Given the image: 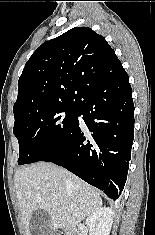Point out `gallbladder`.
I'll return each mask as SVG.
<instances>
[{
	"label": "gallbladder",
	"instance_id": "obj_1",
	"mask_svg": "<svg viewBox=\"0 0 155 235\" xmlns=\"http://www.w3.org/2000/svg\"><path fill=\"white\" fill-rule=\"evenodd\" d=\"M29 228L31 235H52L50 216L42 209H36L30 219Z\"/></svg>",
	"mask_w": 155,
	"mask_h": 235
}]
</instances>
